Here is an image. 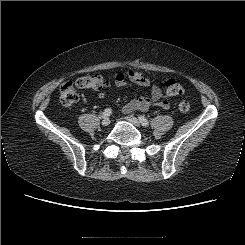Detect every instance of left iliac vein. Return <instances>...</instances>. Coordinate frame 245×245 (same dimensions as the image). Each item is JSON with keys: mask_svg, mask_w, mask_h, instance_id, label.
<instances>
[{"mask_svg": "<svg viewBox=\"0 0 245 245\" xmlns=\"http://www.w3.org/2000/svg\"><path fill=\"white\" fill-rule=\"evenodd\" d=\"M125 119L136 127H140V121L134 116H126Z\"/></svg>", "mask_w": 245, "mask_h": 245, "instance_id": "obj_1", "label": "left iliac vein"}]
</instances>
